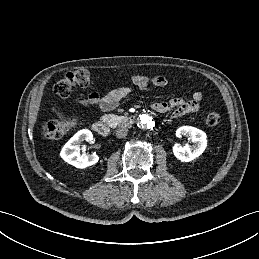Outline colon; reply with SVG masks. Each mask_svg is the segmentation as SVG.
I'll return each instance as SVG.
<instances>
[{"mask_svg":"<svg viewBox=\"0 0 259 259\" xmlns=\"http://www.w3.org/2000/svg\"><path fill=\"white\" fill-rule=\"evenodd\" d=\"M91 82V74L86 69H79L66 73L54 86L55 93L61 98L71 95L76 86L86 87ZM221 116L217 111H211L206 117L209 126H216L220 123ZM73 124L72 119L65 114L64 118L55 120L47 125L46 136L50 139H59L66 135Z\"/></svg>","mask_w":259,"mask_h":259,"instance_id":"5ec220e1","label":"colon"}]
</instances>
